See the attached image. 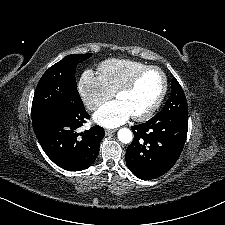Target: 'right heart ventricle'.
I'll list each match as a JSON object with an SVG mask.
<instances>
[{
	"instance_id": "1",
	"label": "right heart ventricle",
	"mask_w": 225,
	"mask_h": 225,
	"mask_svg": "<svg viewBox=\"0 0 225 225\" xmlns=\"http://www.w3.org/2000/svg\"><path fill=\"white\" fill-rule=\"evenodd\" d=\"M144 63L129 59H107L98 65L99 76L111 93L125 84Z\"/></svg>"
}]
</instances>
